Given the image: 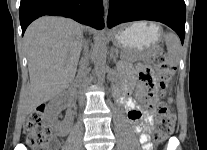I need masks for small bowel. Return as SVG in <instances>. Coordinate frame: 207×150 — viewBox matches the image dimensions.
Segmentation results:
<instances>
[{
    "mask_svg": "<svg viewBox=\"0 0 207 150\" xmlns=\"http://www.w3.org/2000/svg\"><path fill=\"white\" fill-rule=\"evenodd\" d=\"M126 80L117 88V95L124 105L128 120L134 131L139 134V141L144 150H151L150 131L153 122L152 108L154 105V73L146 65H139L136 69L124 67ZM135 92L137 99L147 108L144 110L131 94Z\"/></svg>",
    "mask_w": 207,
    "mask_h": 150,
    "instance_id": "obj_1",
    "label": "small bowel"
}]
</instances>
